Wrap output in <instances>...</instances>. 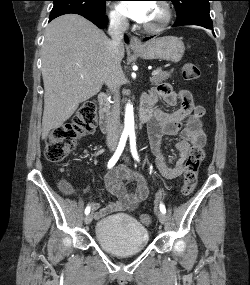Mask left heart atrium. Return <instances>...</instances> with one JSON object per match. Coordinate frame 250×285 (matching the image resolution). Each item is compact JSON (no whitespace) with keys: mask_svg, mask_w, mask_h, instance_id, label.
<instances>
[{"mask_svg":"<svg viewBox=\"0 0 250 285\" xmlns=\"http://www.w3.org/2000/svg\"><path fill=\"white\" fill-rule=\"evenodd\" d=\"M153 3L150 1H133L122 4L124 13L139 23H145L150 15L153 7Z\"/></svg>","mask_w":250,"mask_h":285,"instance_id":"left-heart-atrium-1","label":"left heart atrium"}]
</instances>
